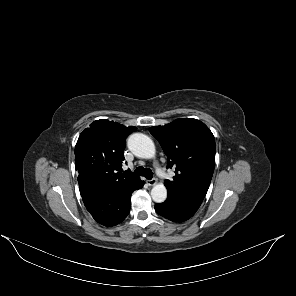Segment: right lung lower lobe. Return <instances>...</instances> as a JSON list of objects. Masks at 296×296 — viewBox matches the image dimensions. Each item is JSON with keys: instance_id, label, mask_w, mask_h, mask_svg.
<instances>
[{"instance_id": "right-lung-lower-lobe-1", "label": "right lung lower lobe", "mask_w": 296, "mask_h": 296, "mask_svg": "<svg viewBox=\"0 0 296 296\" xmlns=\"http://www.w3.org/2000/svg\"><path fill=\"white\" fill-rule=\"evenodd\" d=\"M80 194L87 210L98 223L115 226L130 212L131 194L143 187L144 181L121 187H97L88 178L78 180Z\"/></svg>"}]
</instances>
